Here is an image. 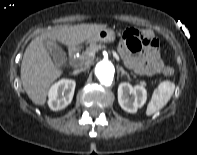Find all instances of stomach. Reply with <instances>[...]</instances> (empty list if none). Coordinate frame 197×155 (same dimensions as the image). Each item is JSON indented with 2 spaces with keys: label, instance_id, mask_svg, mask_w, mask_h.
Returning a JSON list of instances; mask_svg holds the SVG:
<instances>
[{
  "label": "stomach",
  "instance_id": "obj_1",
  "mask_svg": "<svg viewBox=\"0 0 197 155\" xmlns=\"http://www.w3.org/2000/svg\"><path fill=\"white\" fill-rule=\"evenodd\" d=\"M115 40V32L110 28H104L97 32L87 42H113Z\"/></svg>",
  "mask_w": 197,
  "mask_h": 155
}]
</instances>
